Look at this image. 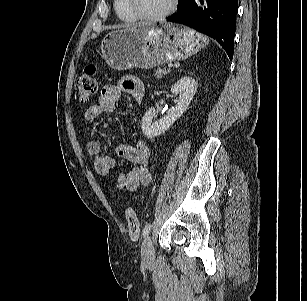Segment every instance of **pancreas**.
<instances>
[{"label":"pancreas","instance_id":"obj_1","mask_svg":"<svg viewBox=\"0 0 307 301\" xmlns=\"http://www.w3.org/2000/svg\"><path fill=\"white\" fill-rule=\"evenodd\" d=\"M170 70L169 69H160L158 68L157 70L154 71V77H156L157 79L161 78L163 74H167L169 73Z\"/></svg>","mask_w":307,"mask_h":301}]
</instances>
